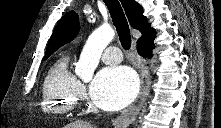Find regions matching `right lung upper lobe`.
<instances>
[{
  "label": "right lung upper lobe",
  "mask_w": 221,
  "mask_h": 128,
  "mask_svg": "<svg viewBox=\"0 0 221 128\" xmlns=\"http://www.w3.org/2000/svg\"><path fill=\"white\" fill-rule=\"evenodd\" d=\"M130 25L142 33L139 41H152L156 35L154 29L148 24L147 18L142 14V7L134 0H120ZM79 22L75 12H68L57 24L50 38L45 55H51L59 47L70 42L78 33Z\"/></svg>",
  "instance_id": "1"
}]
</instances>
